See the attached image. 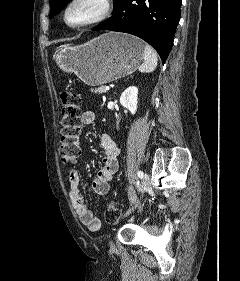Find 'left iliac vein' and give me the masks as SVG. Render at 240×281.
I'll list each match as a JSON object with an SVG mask.
<instances>
[{"label":"left iliac vein","instance_id":"4c4485c4","mask_svg":"<svg viewBox=\"0 0 240 281\" xmlns=\"http://www.w3.org/2000/svg\"><path fill=\"white\" fill-rule=\"evenodd\" d=\"M150 187V179L147 173H145L142 177V183H141V196L144 195V193L149 189ZM139 205V201H137L135 203V205L128 209L127 212L124 214V217H127L137 206ZM110 248L111 250H115V246L113 245V243H110Z\"/></svg>","mask_w":240,"mask_h":281}]
</instances>
